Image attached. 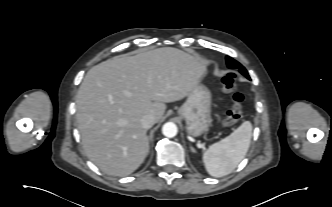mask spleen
Wrapping results in <instances>:
<instances>
[{"label":"spleen","instance_id":"spleen-1","mask_svg":"<svg viewBox=\"0 0 332 207\" xmlns=\"http://www.w3.org/2000/svg\"><path fill=\"white\" fill-rule=\"evenodd\" d=\"M251 136L252 124L245 121L229 136L212 144L203 153L207 172L213 177L230 174L245 157Z\"/></svg>","mask_w":332,"mask_h":207}]
</instances>
